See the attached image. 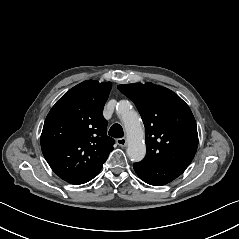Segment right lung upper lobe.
<instances>
[{"mask_svg":"<svg viewBox=\"0 0 239 239\" xmlns=\"http://www.w3.org/2000/svg\"><path fill=\"white\" fill-rule=\"evenodd\" d=\"M112 84L88 80L64 94L44 122L41 149L52 170L59 176L96 175L113 150L107 136L104 104Z\"/></svg>","mask_w":239,"mask_h":239,"instance_id":"obj_1","label":"right lung upper lobe"}]
</instances>
